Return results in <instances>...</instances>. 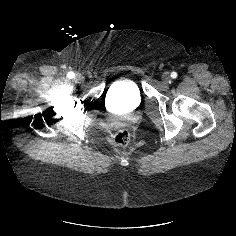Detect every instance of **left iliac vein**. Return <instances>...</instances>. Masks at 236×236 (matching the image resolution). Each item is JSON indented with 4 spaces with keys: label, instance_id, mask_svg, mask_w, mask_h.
<instances>
[{
    "label": "left iliac vein",
    "instance_id": "obj_1",
    "mask_svg": "<svg viewBox=\"0 0 236 236\" xmlns=\"http://www.w3.org/2000/svg\"><path fill=\"white\" fill-rule=\"evenodd\" d=\"M162 80L165 82V83H168L170 81V76L168 73H164L163 76H162Z\"/></svg>",
    "mask_w": 236,
    "mask_h": 236
}]
</instances>
